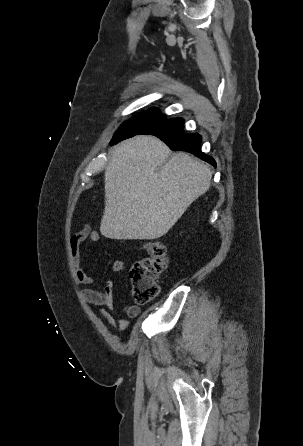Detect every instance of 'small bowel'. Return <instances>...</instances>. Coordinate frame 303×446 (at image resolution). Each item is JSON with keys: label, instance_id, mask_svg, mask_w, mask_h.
Returning a JSON list of instances; mask_svg holds the SVG:
<instances>
[{"label": "small bowel", "instance_id": "small-bowel-1", "mask_svg": "<svg viewBox=\"0 0 303 446\" xmlns=\"http://www.w3.org/2000/svg\"><path fill=\"white\" fill-rule=\"evenodd\" d=\"M98 242L100 234L92 229L89 225H84L70 239L71 269L77 284L90 286L94 283V278L88 275L81 263L82 245L85 241ZM125 269L123 261L116 260L112 264V270L116 273ZM83 299L96 306L107 308L99 310V315L104 319L111 328H118L121 332H125L129 327L128 319L136 318L141 308L137 305H128L125 307V317H118L114 309L113 282L106 281L102 290L92 288H83L81 290Z\"/></svg>", "mask_w": 303, "mask_h": 446}]
</instances>
